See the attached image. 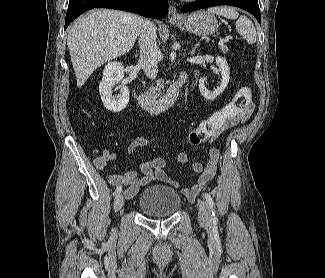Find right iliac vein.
I'll use <instances>...</instances> for the list:
<instances>
[{
  "instance_id": "1",
  "label": "right iliac vein",
  "mask_w": 325,
  "mask_h": 278,
  "mask_svg": "<svg viewBox=\"0 0 325 278\" xmlns=\"http://www.w3.org/2000/svg\"><path fill=\"white\" fill-rule=\"evenodd\" d=\"M124 204V196L121 193H118L114 199V208L115 210H120Z\"/></svg>"
}]
</instances>
